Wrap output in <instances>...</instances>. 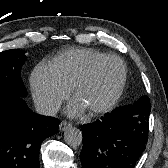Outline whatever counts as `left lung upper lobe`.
Masks as SVG:
<instances>
[{
  "mask_svg": "<svg viewBox=\"0 0 168 168\" xmlns=\"http://www.w3.org/2000/svg\"><path fill=\"white\" fill-rule=\"evenodd\" d=\"M142 99H147L149 101V98L147 96H142L139 100H142Z\"/></svg>",
  "mask_w": 168,
  "mask_h": 168,
  "instance_id": "obj_1",
  "label": "left lung upper lobe"
}]
</instances>
